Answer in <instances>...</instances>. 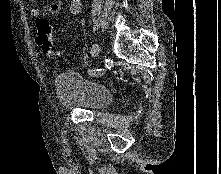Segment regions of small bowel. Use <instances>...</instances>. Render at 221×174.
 I'll list each match as a JSON object with an SVG mask.
<instances>
[{"label": "small bowel", "instance_id": "1", "mask_svg": "<svg viewBox=\"0 0 221 174\" xmlns=\"http://www.w3.org/2000/svg\"><path fill=\"white\" fill-rule=\"evenodd\" d=\"M31 1V0H30ZM63 10V4L61 1H57V2H53L51 3L48 8H47V12L49 15L51 16H57L59 15ZM30 14L33 18L35 19H41V10L39 7L35 6V5H31L29 8Z\"/></svg>", "mask_w": 221, "mask_h": 174}]
</instances>
